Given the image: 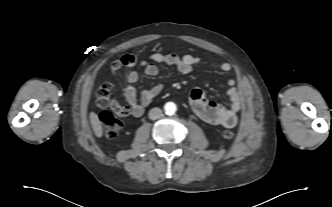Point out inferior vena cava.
<instances>
[{"mask_svg": "<svg viewBox=\"0 0 332 207\" xmlns=\"http://www.w3.org/2000/svg\"><path fill=\"white\" fill-rule=\"evenodd\" d=\"M161 116H162V110L160 108L155 107L149 111V118L152 120H156Z\"/></svg>", "mask_w": 332, "mask_h": 207, "instance_id": "inferior-vena-cava-1", "label": "inferior vena cava"}]
</instances>
